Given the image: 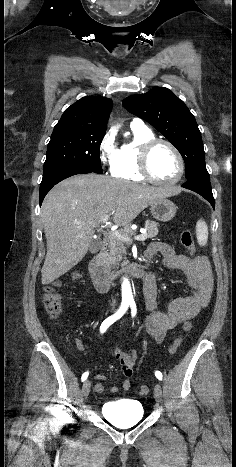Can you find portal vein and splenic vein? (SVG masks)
I'll list each match as a JSON object with an SVG mask.
<instances>
[{
    "label": "portal vein and splenic vein",
    "mask_w": 236,
    "mask_h": 467,
    "mask_svg": "<svg viewBox=\"0 0 236 467\" xmlns=\"http://www.w3.org/2000/svg\"><path fill=\"white\" fill-rule=\"evenodd\" d=\"M108 220H109V216H104L102 218V220H101V223H107ZM110 234L116 236L117 238H119L120 240H123V241H132L131 238L127 234H124V233H121V232H118V231H111ZM134 239L137 240V241L146 240L147 239L146 230L142 229L141 234L135 236Z\"/></svg>",
    "instance_id": "18ae733b"
}]
</instances>
